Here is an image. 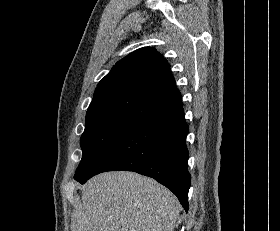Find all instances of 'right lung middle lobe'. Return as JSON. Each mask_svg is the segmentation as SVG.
<instances>
[{
    "label": "right lung middle lobe",
    "instance_id": "right-lung-middle-lobe-1",
    "mask_svg": "<svg viewBox=\"0 0 280 231\" xmlns=\"http://www.w3.org/2000/svg\"><path fill=\"white\" fill-rule=\"evenodd\" d=\"M136 122L128 119H86V127L80 139L82 159L75 176L80 174L91 160L113 139Z\"/></svg>",
    "mask_w": 280,
    "mask_h": 231
}]
</instances>
